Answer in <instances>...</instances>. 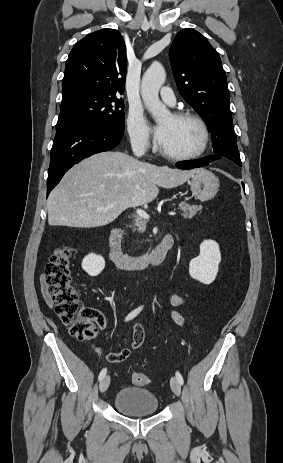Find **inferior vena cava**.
Returning <instances> with one entry per match:
<instances>
[{"mask_svg":"<svg viewBox=\"0 0 283 463\" xmlns=\"http://www.w3.org/2000/svg\"><path fill=\"white\" fill-rule=\"evenodd\" d=\"M131 147L135 156L142 157L146 151V142L142 139H133Z\"/></svg>","mask_w":283,"mask_h":463,"instance_id":"obj_1","label":"inferior vena cava"}]
</instances>
